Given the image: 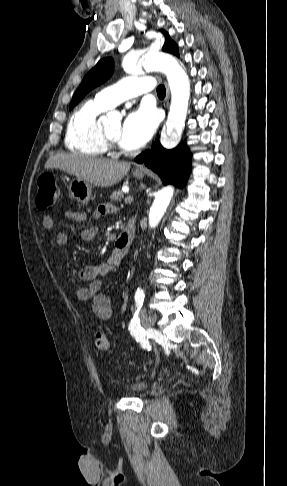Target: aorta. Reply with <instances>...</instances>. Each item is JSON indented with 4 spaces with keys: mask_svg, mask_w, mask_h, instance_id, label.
Instances as JSON below:
<instances>
[{
    "mask_svg": "<svg viewBox=\"0 0 287 486\" xmlns=\"http://www.w3.org/2000/svg\"><path fill=\"white\" fill-rule=\"evenodd\" d=\"M138 58L125 57L122 62L124 71L128 74H137L142 67L147 71H161L168 80L171 91V104L166 122L165 137L163 145L172 147L181 138L185 119L188 112L190 99V83L184 69L177 60L168 54L149 52ZM109 116L103 118V122H108ZM174 188L167 186L161 189L155 196V200L149 211V227L155 228L164 216L167 207L173 197Z\"/></svg>",
    "mask_w": 287,
    "mask_h": 486,
    "instance_id": "obj_1",
    "label": "aorta"
}]
</instances>
